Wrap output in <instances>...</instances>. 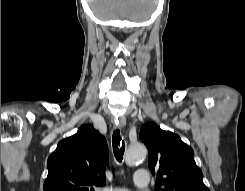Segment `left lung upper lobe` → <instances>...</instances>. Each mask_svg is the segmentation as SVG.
I'll use <instances>...</instances> for the list:
<instances>
[{
	"instance_id": "1",
	"label": "left lung upper lobe",
	"mask_w": 245,
	"mask_h": 191,
	"mask_svg": "<svg viewBox=\"0 0 245 191\" xmlns=\"http://www.w3.org/2000/svg\"><path fill=\"white\" fill-rule=\"evenodd\" d=\"M140 139L149 151L148 165L157 176V191H209L193 149L177 134L147 123L140 131Z\"/></svg>"
}]
</instances>
